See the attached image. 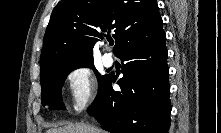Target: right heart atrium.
<instances>
[{"mask_svg": "<svg viewBox=\"0 0 221 133\" xmlns=\"http://www.w3.org/2000/svg\"><path fill=\"white\" fill-rule=\"evenodd\" d=\"M66 83L70 96L71 107L81 112L88 108L97 95L96 78L86 65L72 68L66 75Z\"/></svg>", "mask_w": 221, "mask_h": 133, "instance_id": "1", "label": "right heart atrium"}]
</instances>
